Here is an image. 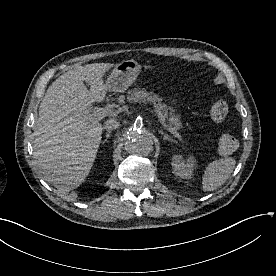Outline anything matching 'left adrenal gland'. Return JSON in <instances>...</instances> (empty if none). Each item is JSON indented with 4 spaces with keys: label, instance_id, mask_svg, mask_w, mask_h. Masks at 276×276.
<instances>
[{
    "label": "left adrenal gland",
    "instance_id": "a2214340",
    "mask_svg": "<svg viewBox=\"0 0 276 276\" xmlns=\"http://www.w3.org/2000/svg\"><path fill=\"white\" fill-rule=\"evenodd\" d=\"M159 133L163 135V139L164 140H168V141H172V142H176L174 139H172L171 136H169L168 134H166L165 132H163L162 130H159Z\"/></svg>",
    "mask_w": 276,
    "mask_h": 276
}]
</instances>
